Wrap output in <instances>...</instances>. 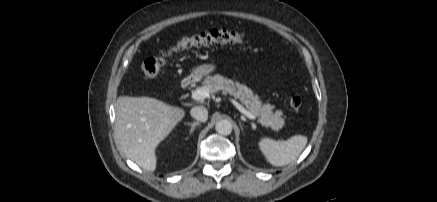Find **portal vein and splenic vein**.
Wrapping results in <instances>:
<instances>
[{"mask_svg":"<svg viewBox=\"0 0 437 202\" xmlns=\"http://www.w3.org/2000/svg\"><path fill=\"white\" fill-rule=\"evenodd\" d=\"M209 92H210L209 89L206 87L198 88L192 93L191 98L193 100L200 101V100L207 98L209 96ZM231 101H232L233 105L246 117H248L249 119H253V120L256 119L255 115H253L251 112L247 111L237 101H235V100H231Z\"/></svg>","mask_w":437,"mask_h":202,"instance_id":"18ae733b","label":"portal vein and splenic vein"}]
</instances>
